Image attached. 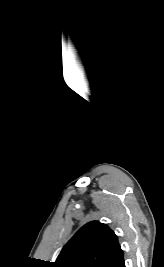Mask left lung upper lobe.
Listing matches in <instances>:
<instances>
[{"instance_id":"obj_1","label":"left lung upper lobe","mask_w":164,"mask_h":267,"mask_svg":"<svg viewBox=\"0 0 164 267\" xmlns=\"http://www.w3.org/2000/svg\"><path fill=\"white\" fill-rule=\"evenodd\" d=\"M119 250L114 232L107 225L92 221L67 242L52 267H106Z\"/></svg>"}]
</instances>
